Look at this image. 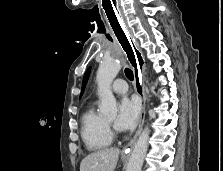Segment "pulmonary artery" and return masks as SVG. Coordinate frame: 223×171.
Masks as SVG:
<instances>
[{"label":"pulmonary artery","instance_id":"obj_1","mask_svg":"<svg viewBox=\"0 0 223 171\" xmlns=\"http://www.w3.org/2000/svg\"><path fill=\"white\" fill-rule=\"evenodd\" d=\"M111 88L116 94H124L128 90V85L125 80L117 79L113 82Z\"/></svg>","mask_w":223,"mask_h":171}]
</instances>
